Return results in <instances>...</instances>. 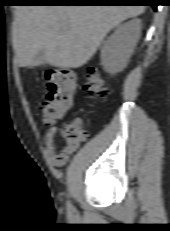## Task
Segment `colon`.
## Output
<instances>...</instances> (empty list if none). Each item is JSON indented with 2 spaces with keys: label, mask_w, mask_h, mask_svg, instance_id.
<instances>
[{
  "label": "colon",
  "mask_w": 170,
  "mask_h": 231,
  "mask_svg": "<svg viewBox=\"0 0 170 231\" xmlns=\"http://www.w3.org/2000/svg\"><path fill=\"white\" fill-rule=\"evenodd\" d=\"M47 95L39 109L46 124H52L62 119L72 108L76 92V79L67 69L50 70L46 74ZM83 92L88 97L105 98L109 94V86L100 72L89 67L86 70V81ZM66 147L76 149L89 138V131L80 123L72 122L62 128Z\"/></svg>",
  "instance_id": "obj_1"
}]
</instances>
